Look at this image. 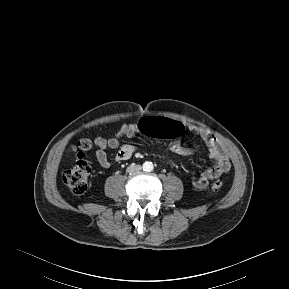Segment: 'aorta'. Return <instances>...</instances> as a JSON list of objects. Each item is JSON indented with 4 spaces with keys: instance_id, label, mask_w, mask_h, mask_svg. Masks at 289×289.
Segmentation results:
<instances>
[{
    "instance_id": "aorta-1",
    "label": "aorta",
    "mask_w": 289,
    "mask_h": 289,
    "mask_svg": "<svg viewBox=\"0 0 289 289\" xmlns=\"http://www.w3.org/2000/svg\"><path fill=\"white\" fill-rule=\"evenodd\" d=\"M142 168L146 172H151L154 169V166L152 162L146 161L143 163Z\"/></svg>"
}]
</instances>
